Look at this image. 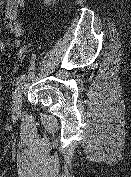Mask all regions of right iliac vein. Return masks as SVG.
<instances>
[{"label": "right iliac vein", "mask_w": 131, "mask_h": 177, "mask_svg": "<svg viewBox=\"0 0 131 177\" xmlns=\"http://www.w3.org/2000/svg\"><path fill=\"white\" fill-rule=\"evenodd\" d=\"M23 92H24V86H22L13 97V104H12V112L14 115L19 114L21 105H22V99H23Z\"/></svg>", "instance_id": "obj_1"}]
</instances>
